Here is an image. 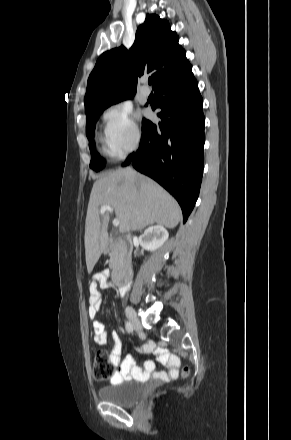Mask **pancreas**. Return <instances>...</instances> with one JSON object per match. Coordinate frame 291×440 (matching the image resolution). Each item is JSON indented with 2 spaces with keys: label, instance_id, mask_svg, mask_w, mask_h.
Returning a JSON list of instances; mask_svg holds the SVG:
<instances>
[{
  "label": "pancreas",
  "instance_id": "obj_1",
  "mask_svg": "<svg viewBox=\"0 0 291 440\" xmlns=\"http://www.w3.org/2000/svg\"><path fill=\"white\" fill-rule=\"evenodd\" d=\"M107 251L109 252L110 256V264L109 266L111 268L115 267L122 255L123 252V246L119 241H110L108 244Z\"/></svg>",
  "mask_w": 291,
  "mask_h": 440
}]
</instances>
